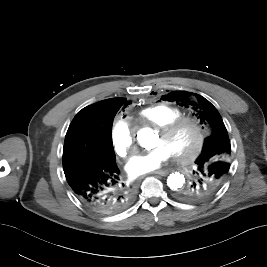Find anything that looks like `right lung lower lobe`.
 Wrapping results in <instances>:
<instances>
[{"mask_svg": "<svg viewBox=\"0 0 267 267\" xmlns=\"http://www.w3.org/2000/svg\"><path fill=\"white\" fill-rule=\"evenodd\" d=\"M97 137L98 134L90 129H81L73 135L68 146H64V150L71 147V157L74 158ZM64 173L69 186L80 201L98 213L122 212L135 199V189L123 182L115 160H93Z\"/></svg>", "mask_w": 267, "mask_h": 267, "instance_id": "1", "label": "right lung lower lobe"}]
</instances>
